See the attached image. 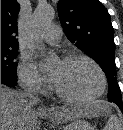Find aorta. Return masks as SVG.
Here are the masks:
<instances>
[{
	"label": "aorta",
	"instance_id": "aorta-1",
	"mask_svg": "<svg viewBox=\"0 0 123 130\" xmlns=\"http://www.w3.org/2000/svg\"><path fill=\"white\" fill-rule=\"evenodd\" d=\"M55 11L51 6H38L33 13L31 45L45 53L43 32L51 25Z\"/></svg>",
	"mask_w": 123,
	"mask_h": 130
}]
</instances>
